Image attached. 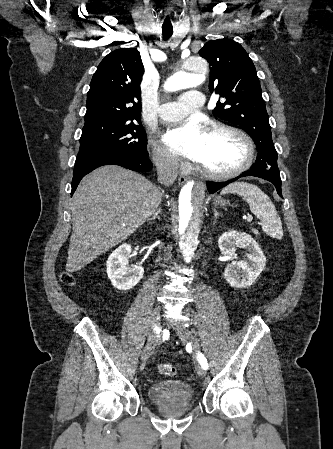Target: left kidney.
<instances>
[{"label": "left kidney", "instance_id": "5707ae66", "mask_svg": "<svg viewBox=\"0 0 333 449\" xmlns=\"http://www.w3.org/2000/svg\"><path fill=\"white\" fill-rule=\"evenodd\" d=\"M219 249L225 256H233L235 247L248 250V261H232L224 271L227 283L235 288L252 285L265 267L266 258L258 243L249 234L231 230L218 240Z\"/></svg>", "mask_w": 333, "mask_h": 449}]
</instances>
